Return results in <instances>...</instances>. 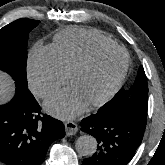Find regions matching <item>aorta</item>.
Masks as SVG:
<instances>
[{"label":"aorta","mask_w":165,"mask_h":165,"mask_svg":"<svg viewBox=\"0 0 165 165\" xmlns=\"http://www.w3.org/2000/svg\"><path fill=\"white\" fill-rule=\"evenodd\" d=\"M75 149L81 156L90 157L97 150V141L91 135H82L76 140Z\"/></svg>","instance_id":"obj_1"}]
</instances>
